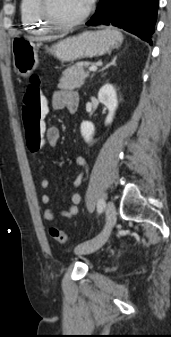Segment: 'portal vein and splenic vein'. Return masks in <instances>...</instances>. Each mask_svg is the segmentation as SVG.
<instances>
[{
	"mask_svg": "<svg viewBox=\"0 0 171 337\" xmlns=\"http://www.w3.org/2000/svg\"><path fill=\"white\" fill-rule=\"evenodd\" d=\"M89 71H96L97 70V66H91L88 69Z\"/></svg>",
	"mask_w": 171,
	"mask_h": 337,
	"instance_id": "1",
	"label": "portal vein and splenic vein"
}]
</instances>
